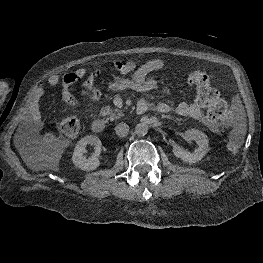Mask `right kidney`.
Masks as SVG:
<instances>
[{"label":"right kidney","instance_id":"obj_1","mask_svg":"<svg viewBox=\"0 0 263 263\" xmlns=\"http://www.w3.org/2000/svg\"><path fill=\"white\" fill-rule=\"evenodd\" d=\"M88 144L94 145L95 153L93 154V156L86 159L83 155L86 152L85 147ZM101 146V140L97 136L88 135L83 137L81 140L78 141L74 148L72 156L73 164L83 171H91L97 169L100 165L98 157L101 152Z\"/></svg>","mask_w":263,"mask_h":263}]
</instances>
